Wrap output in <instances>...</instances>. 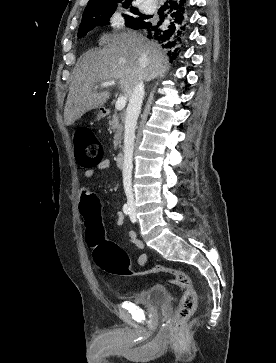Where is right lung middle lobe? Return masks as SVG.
Masks as SVG:
<instances>
[{
	"label": "right lung middle lobe",
	"mask_w": 276,
	"mask_h": 363,
	"mask_svg": "<svg viewBox=\"0 0 276 363\" xmlns=\"http://www.w3.org/2000/svg\"><path fill=\"white\" fill-rule=\"evenodd\" d=\"M118 3H122V1L101 3L87 7L83 13L78 37L85 36L89 31L97 26L109 24V19L115 12ZM122 7L128 8L130 13V16L124 15L126 25L134 29H138L144 22V15L140 14L139 11L132 6L131 2H123Z\"/></svg>",
	"instance_id": "right-lung-middle-lobe-1"
}]
</instances>
